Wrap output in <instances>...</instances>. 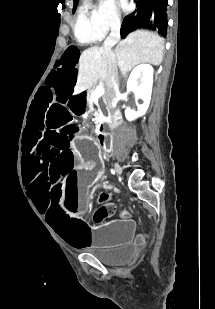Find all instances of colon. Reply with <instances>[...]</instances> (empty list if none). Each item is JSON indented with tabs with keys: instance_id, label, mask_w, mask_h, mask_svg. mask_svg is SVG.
Listing matches in <instances>:
<instances>
[{
	"instance_id": "1",
	"label": "colon",
	"mask_w": 215,
	"mask_h": 309,
	"mask_svg": "<svg viewBox=\"0 0 215 309\" xmlns=\"http://www.w3.org/2000/svg\"><path fill=\"white\" fill-rule=\"evenodd\" d=\"M98 219H102L104 217H112L115 212V204L112 201H108L104 206H102L99 210Z\"/></svg>"
}]
</instances>
